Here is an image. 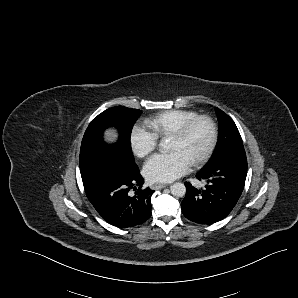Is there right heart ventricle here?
<instances>
[{
    "instance_id": "1",
    "label": "right heart ventricle",
    "mask_w": 298,
    "mask_h": 298,
    "mask_svg": "<svg viewBox=\"0 0 298 298\" xmlns=\"http://www.w3.org/2000/svg\"><path fill=\"white\" fill-rule=\"evenodd\" d=\"M199 116L196 111L187 109H174L157 113L146 118L145 124L149 126L157 138H163L178 125Z\"/></svg>"
}]
</instances>
